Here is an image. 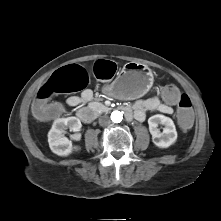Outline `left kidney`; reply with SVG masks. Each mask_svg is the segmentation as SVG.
Masks as SVG:
<instances>
[{
	"mask_svg": "<svg viewBox=\"0 0 221 221\" xmlns=\"http://www.w3.org/2000/svg\"><path fill=\"white\" fill-rule=\"evenodd\" d=\"M149 131L152 135L153 143L159 148H168L177 140V132L171 118L161 114L151 116L148 119ZM161 124L164 126L163 132L157 128Z\"/></svg>",
	"mask_w": 221,
	"mask_h": 221,
	"instance_id": "left-kidney-1",
	"label": "left kidney"
}]
</instances>
